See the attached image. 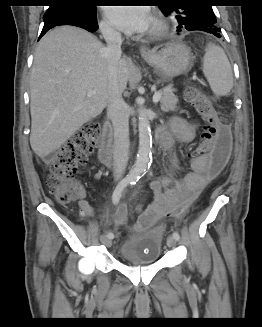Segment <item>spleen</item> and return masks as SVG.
<instances>
[{
  "instance_id": "3e777b00",
  "label": "spleen",
  "mask_w": 262,
  "mask_h": 327,
  "mask_svg": "<svg viewBox=\"0 0 262 327\" xmlns=\"http://www.w3.org/2000/svg\"><path fill=\"white\" fill-rule=\"evenodd\" d=\"M203 73L215 95L229 94L233 87L232 69L221 47L208 44L203 59Z\"/></svg>"
}]
</instances>
